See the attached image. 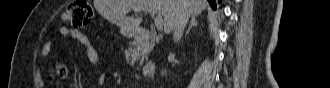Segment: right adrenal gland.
Segmentation results:
<instances>
[{"label": "right adrenal gland", "mask_w": 330, "mask_h": 88, "mask_svg": "<svg viewBox=\"0 0 330 88\" xmlns=\"http://www.w3.org/2000/svg\"><path fill=\"white\" fill-rule=\"evenodd\" d=\"M197 25H198L197 16H192V19H191L190 25H189L188 29L186 30V33H185V37L188 36V34H189L191 28H192L193 26H197Z\"/></svg>", "instance_id": "1"}]
</instances>
